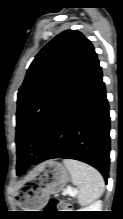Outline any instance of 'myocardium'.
Returning a JSON list of instances; mask_svg holds the SVG:
<instances>
[{"mask_svg":"<svg viewBox=\"0 0 123 219\" xmlns=\"http://www.w3.org/2000/svg\"><path fill=\"white\" fill-rule=\"evenodd\" d=\"M38 152V148L35 145H30L26 150V156L30 159L34 158Z\"/></svg>","mask_w":123,"mask_h":219,"instance_id":"obj_1","label":"myocardium"}]
</instances>
